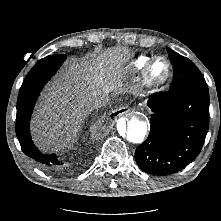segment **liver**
<instances>
[{
  "label": "liver",
  "mask_w": 221,
  "mask_h": 221,
  "mask_svg": "<svg viewBox=\"0 0 221 221\" xmlns=\"http://www.w3.org/2000/svg\"><path fill=\"white\" fill-rule=\"evenodd\" d=\"M127 62L128 50L124 47L71 62L46 87L32 120L33 138L40 147L58 151L69 146L92 111V101L121 89Z\"/></svg>",
  "instance_id": "6515ba94"
}]
</instances>
